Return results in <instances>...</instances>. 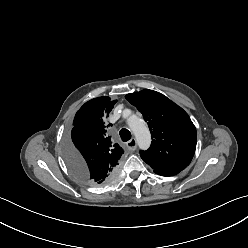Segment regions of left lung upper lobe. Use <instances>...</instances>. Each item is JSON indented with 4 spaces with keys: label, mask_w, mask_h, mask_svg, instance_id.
Segmentation results:
<instances>
[{
    "label": "left lung upper lobe",
    "mask_w": 248,
    "mask_h": 248,
    "mask_svg": "<svg viewBox=\"0 0 248 248\" xmlns=\"http://www.w3.org/2000/svg\"><path fill=\"white\" fill-rule=\"evenodd\" d=\"M125 98L134 105L148 123L152 144L140 151L141 158L154 171H181L191 162L197 133L188 114L163 94L144 89Z\"/></svg>",
    "instance_id": "obj_1"
}]
</instances>
